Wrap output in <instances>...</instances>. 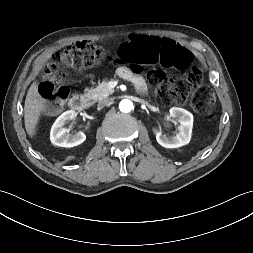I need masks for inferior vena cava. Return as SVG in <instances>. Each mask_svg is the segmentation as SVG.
Listing matches in <instances>:
<instances>
[{
	"mask_svg": "<svg viewBox=\"0 0 253 253\" xmlns=\"http://www.w3.org/2000/svg\"><path fill=\"white\" fill-rule=\"evenodd\" d=\"M109 103V99H104V100H101L99 103H98V108H103L105 107L107 104Z\"/></svg>",
	"mask_w": 253,
	"mask_h": 253,
	"instance_id": "obj_1",
	"label": "inferior vena cava"
}]
</instances>
